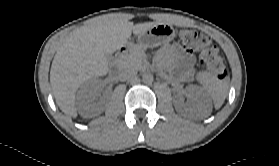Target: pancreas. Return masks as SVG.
Instances as JSON below:
<instances>
[{
	"label": "pancreas",
	"instance_id": "obj_1",
	"mask_svg": "<svg viewBox=\"0 0 279 166\" xmlns=\"http://www.w3.org/2000/svg\"><path fill=\"white\" fill-rule=\"evenodd\" d=\"M144 57V49L140 45H135L129 53L125 54L119 61V66L122 69H140Z\"/></svg>",
	"mask_w": 279,
	"mask_h": 166
}]
</instances>
